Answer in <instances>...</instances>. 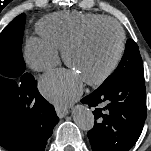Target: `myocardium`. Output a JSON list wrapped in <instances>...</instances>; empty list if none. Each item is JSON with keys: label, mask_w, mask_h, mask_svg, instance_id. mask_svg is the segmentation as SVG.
<instances>
[{"label": "myocardium", "mask_w": 151, "mask_h": 151, "mask_svg": "<svg viewBox=\"0 0 151 151\" xmlns=\"http://www.w3.org/2000/svg\"><path fill=\"white\" fill-rule=\"evenodd\" d=\"M106 24L113 25L115 29L117 30L118 49H117V53L114 60L108 66V68L104 72H102L100 75L86 81L87 84L92 85V86L99 85L105 82L115 72V70L117 69V67L119 66L123 58L124 51H125L126 36H125V32L122 25L117 20L113 18H109V17L95 21L91 23L90 25H88L87 27H85L79 34H77L71 40H69L62 49L63 60L66 65L70 66V63H69L70 51L78 47L79 45H81L93 30Z\"/></svg>", "instance_id": "myocardium-1"}]
</instances>
